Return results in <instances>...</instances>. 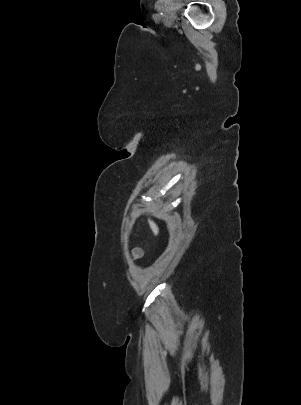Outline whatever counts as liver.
<instances>
[{
	"label": "liver",
	"instance_id": "liver-1",
	"mask_svg": "<svg viewBox=\"0 0 301 405\" xmlns=\"http://www.w3.org/2000/svg\"><path fill=\"white\" fill-rule=\"evenodd\" d=\"M149 224H150V227H151L152 231H153L155 234H158L159 229H158L157 225H156L152 220H150V219H149Z\"/></svg>",
	"mask_w": 301,
	"mask_h": 405
}]
</instances>
